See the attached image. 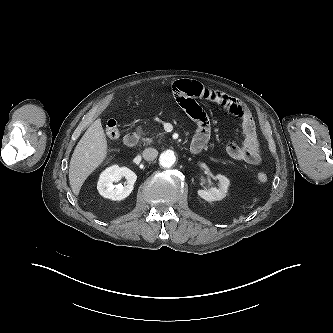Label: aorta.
<instances>
[{
    "mask_svg": "<svg viewBox=\"0 0 333 333\" xmlns=\"http://www.w3.org/2000/svg\"><path fill=\"white\" fill-rule=\"evenodd\" d=\"M176 161L175 153L172 150L164 151L159 159V163L164 168H170Z\"/></svg>",
    "mask_w": 333,
    "mask_h": 333,
    "instance_id": "aorta-1",
    "label": "aorta"
}]
</instances>
